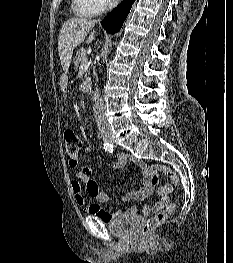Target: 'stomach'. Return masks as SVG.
I'll return each mask as SVG.
<instances>
[{
    "label": "stomach",
    "instance_id": "obj_1",
    "mask_svg": "<svg viewBox=\"0 0 233 263\" xmlns=\"http://www.w3.org/2000/svg\"><path fill=\"white\" fill-rule=\"evenodd\" d=\"M55 81L60 82L59 86L61 91H68L72 86L71 83H69L68 78L65 77H56Z\"/></svg>",
    "mask_w": 233,
    "mask_h": 263
}]
</instances>
